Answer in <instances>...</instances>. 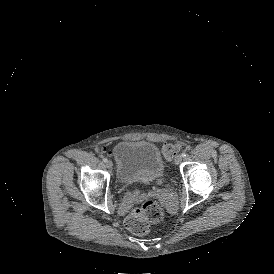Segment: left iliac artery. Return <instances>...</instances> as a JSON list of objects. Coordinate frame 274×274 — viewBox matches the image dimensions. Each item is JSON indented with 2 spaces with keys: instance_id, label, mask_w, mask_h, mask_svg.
I'll return each instance as SVG.
<instances>
[{
  "instance_id": "obj_1",
  "label": "left iliac artery",
  "mask_w": 274,
  "mask_h": 274,
  "mask_svg": "<svg viewBox=\"0 0 274 274\" xmlns=\"http://www.w3.org/2000/svg\"><path fill=\"white\" fill-rule=\"evenodd\" d=\"M186 155H187V154H186L185 151L181 153V156H182V157H186Z\"/></svg>"
}]
</instances>
